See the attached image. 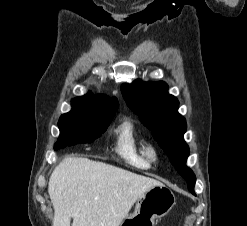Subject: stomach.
<instances>
[{
	"label": "stomach",
	"mask_w": 247,
	"mask_h": 226,
	"mask_svg": "<svg viewBox=\"0 0 247 226\" xmlns=\"http://www.w3.org/2000/svg\"><path fill=\"white\" fill-rule=\"evenodd\" d=\"M174 205L173 192L163 184L154 185L139 197L134 212L119 226H155V220L167 215Z\"/></svg>",
	"instance_id": "0dacf381"
}]
</instances>
